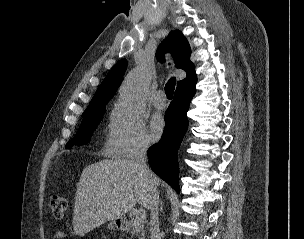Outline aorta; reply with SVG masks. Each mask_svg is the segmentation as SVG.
<instances>
[{
    "label": "aorta",
    "mask_w": 304,
    "mask_h": 239,
    "mask_svg": "<svg viewBox=\"0 0 304 239\" xmlns=\"http://www.w3.org/2000/svg\"><path fill=\"white\" fill-rule=\"evenodd\" d=\"M149 75L139 69L128 75L120 88V103L135 114H140L146 107Z\"/></svg>",
    "instance_id": "762f6f07"
}]
</instances>
